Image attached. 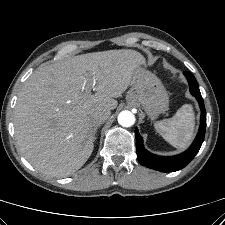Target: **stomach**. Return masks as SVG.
I'll return each instance as SVG.
<instances>
[{
  "mask_svg": "<svg viewBox=\"0 0 225 225\" xmlns=\"http://www.w3.org/2000/svg\"><path fill=\"white\" fill-rule=\"evenodd\" d=\"M127 101L141 105L151 119L165 112L169 105L168 93L160 79L142 67L133 77Z\"/></svg>",
  "mask_w": 225,
  "mask_h": 225,
  "instance_id": "1",
  "label": "stomach"
}]
</instances>
